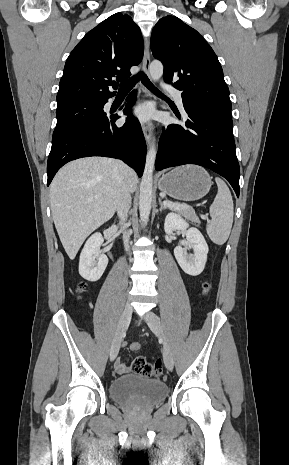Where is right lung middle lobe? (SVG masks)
<instances>
[{"label":"right lung middle lobe","instance_id":"obj_1","mask_svg":"<svg viewBox=\"0 0 289 465\" xmlns=\"http://www.w3.org/2000/svg\"><path fill=\"white\" fill-rule=\"evenodd\" d=\"M106 100H78L58 104L57 125L53 138L84 123L92 122L104 116L103 106Z\"/></svg>","mask_w":289,"mask_h":465}]
</instances>
